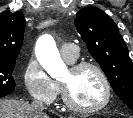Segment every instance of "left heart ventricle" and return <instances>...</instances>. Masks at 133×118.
Masks as SVG:
<instances>
[{
	"mask_svg": "<svg viewBox=\"0 0 133 118\" xmlns=\"http://www.w3.org/2000/svg\"><path fill=\"white\" fill-rule=\"evenodd\" d=\"M73 101L84 107H92L103 101L105 89L100 76L93 69L87 68L73 73L69 69L62 77Z\"/></svg>",
	"mask_w": 133,
	"mask_h": 118,
	"instance_id": "left-heart-ventricle-1",
	"label": "left heart ventricle"
}]
</instances>
